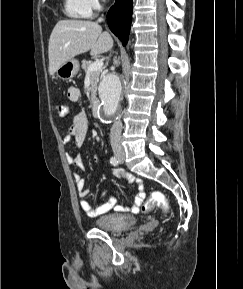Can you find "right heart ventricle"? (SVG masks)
<instances>
[{
  "label": "right heart ventricle",
  "mask_w": 243,
  "mask_h": 289,
  "mask_svg": "<svg viewBox=\"0 0 243 289\" xmlns=\"http://www.w3.org/2000/svg\"><path fill=\"white\" fill-rule=\"evenodd\" d=\"M64 10H65V13L72 18L88 17V14L81 7L78 0H65L64 1Z\"/></svg>",
  "instance_id": "e07e8e85"
}]
</instances>
